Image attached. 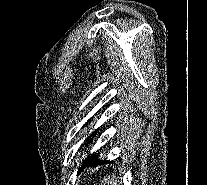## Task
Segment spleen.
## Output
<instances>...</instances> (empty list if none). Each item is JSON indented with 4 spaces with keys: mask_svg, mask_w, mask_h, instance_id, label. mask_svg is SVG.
I'll return each instance as SVG.
<instances>
[{
    "mask_svg": "<svg viewBox=\"0 0 207 185\" xmlns=\"http://www.w3.org/2000/svg\"><path fill=\"white\" fill-rule=\"evenodd\" d=\"M125 176L124 172H121L120 174H108L107 183H118V179Z\"/></svg>",
    "mask_w": 207,
    "mask_h": 185,
    "instance_id": "1",
    "label": "spleen"
}]
</instances>
